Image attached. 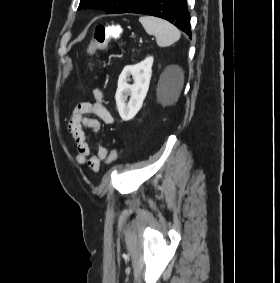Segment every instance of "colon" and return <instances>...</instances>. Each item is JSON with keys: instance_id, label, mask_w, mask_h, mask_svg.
I'll list each match as a JSON object with an SVG mask.
<instances>
[{"instance_id": "colon-1", "label": "colon", "mask_w": 280, "mask_h": 283, "mask_svg": "<svg viewBox=\"0 0 280 283\" xmlns=\"http://www.w3.org/2000/svg\"><path fill=\"white\" fill-rule=\"evenodd\" d=\"M122 30L123 27L121 25H97L94 30L93 38L88 45L87 54L92 55L95 51L105 48L110 40L117 37V41L121 42L122 38L119 36L121 35ZM117 156V151L113 150L108 158V162H115Z\"/></svg>"}]
</instances>
